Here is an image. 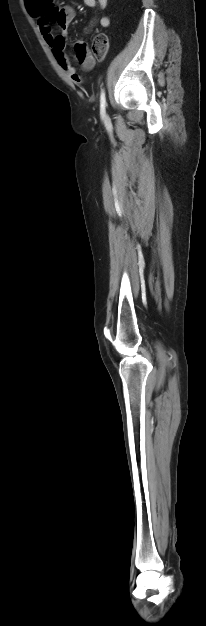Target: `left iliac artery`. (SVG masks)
<instances>
[{"label":"left iliac artery","instance_id":"left-iliac-artery-1","mask_svg":"<svg viewBox=\"0 0 206 626\" xmlns=\"http://www.w3.org/2000/svg\"><path fill=\"white\" fill-rule=\"evenodd\" d=\"M105 107H106V97H105V91L104 89L101 90V94H100V112L101 114L105 113Z\"/></svg>","mask_w":206,"mask_h":626}]
</instances>
